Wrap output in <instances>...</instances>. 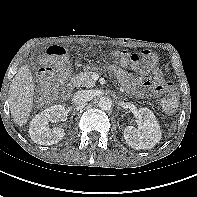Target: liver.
<instances>
[{"label":"liver","mask_w":197,"mask_h":197,"mask_svg":"<svg viewBox=\"0 0 197 197\" xmlns=\"http://www.w3.org/2000/svg\"><path fill=\"white\" fill-rule=\"evenodd\" d=\"M34 95L33 76L28 65L17 71L9 89V103L14 123L23 126L27 123L32 110Z\"/></svg>","instance_id":"obj_1"}]
</instances>
